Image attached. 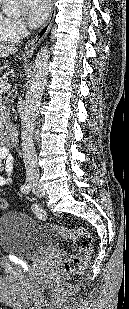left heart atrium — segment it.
Returning <instances> with one entry per match:
<instances>
[{
    "instance_id": "39dd6f15",
    "label": "left heart atrium",
    "mask_w": 129,
    "mask_h": 309,
    "mask_svg": "<svg viewBox=\"0 0 129 309\" xmlns=\"http://www.w3.org/2000/svg\"><path fill=\"white\" fill-rule=\"evenodd\" d=\"M49 12L50 0H24L23 17L32 28L41 25Z\"/></svg>"
}]
</instances>
